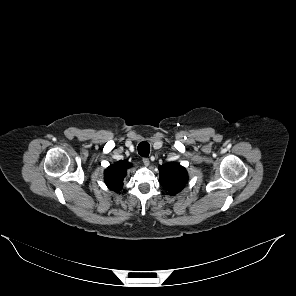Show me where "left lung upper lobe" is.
I'll use <instances>...</instances> for the list:
<instances>
[{
    "label": "left lung upper lobe",
    "mask_w": 296,
    "mask_h": 296,
    "mask_svg": "<svg viewBox=\"0 0 296 296\" xmlns=\"http://www.w3.org/2000/svg\"><path fill=\"white\" fill-rule=\"evenodd\" d=\"M160 183L171 195H175L184 188L188 181L186 169L174 162L159 167Z\"/></svg>",
    "instance_id": "5c2ea615"
}]
</instances>
